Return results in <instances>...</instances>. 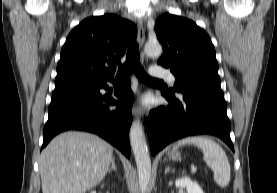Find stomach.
Here are the masks:
<instances>
[{
	"instance_id": "1",
	"label": "stomach",
	"mask_w": 277,
	"mask_h": 193,
	"mask_svg": "<svg viewBox=\"0 0 277 193\" xmlns=\"http://www.w3.org/2000/svg\"><path fill=\"white\" fill-rule=\"evenodd\" d=\"M169 156L172 157L173 159H178L180 154L176 150H173L172 152L169 153Z\"/></svg>"
}]
</instances>
